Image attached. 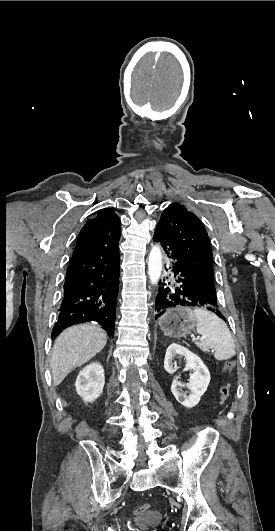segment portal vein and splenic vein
Returning <instances> with one entry per match:
<instances>
[{
  "mask_svg": "<svg viewBox=\"0 0 275 531\" xmlns=\"http://www.w3.org/2000/svg\"><path fill=\"white\" fill-rule=\"evenodd\" d=\"M192 342H195V339H192ZM198 342H205V339H198ZM212 353H215V350H212Z\"/></svg>",
  "mask_w": 275,
  "mask_h": 531,
  "instance_id": "18ae733b",
  "label": "portal vein and splenic vein"
}]
</instances>
